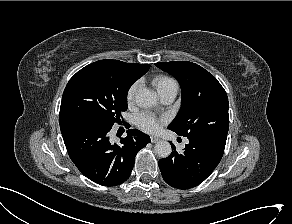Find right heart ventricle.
Masks as SVG:
<instances>
[{"label": "right heart ventricle", "mask_w": 292, "mask_h": 224, "mask_svg": "<svg viewBox=\"0 0 292 224\" xmlns=\"http://www.w3.org/2000/svg\"><path fill=\"white\" fill-rule=\"evenodd\" d=\"M153 84L155 85L158 92L164 90L170 86H178L176 81L167 76H159L153 80Z\"/></svg>", "instance_id": "1"}]
</instances>
